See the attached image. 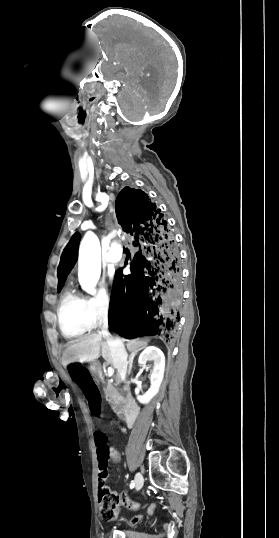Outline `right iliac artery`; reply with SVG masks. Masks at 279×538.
<instances>
[{
    "instance_id": "right-iliac-artery-1",
    "label": "right iliac artery",
    "mask_w": 279,
    "mask_h": 538,
    "mask_svg": "<svg viewBox=\"0 0 279 538\" xmlns=\"http://www.w3.org/2000/svg\"><path fill=\"white\" fill-rule=\"evenodd\" d=\"M134 485H135V483H134V481H132L131 484H130V488H133Z\"/></svg>"
}]
</instances>
